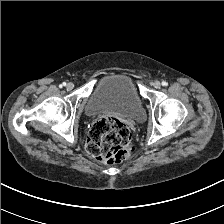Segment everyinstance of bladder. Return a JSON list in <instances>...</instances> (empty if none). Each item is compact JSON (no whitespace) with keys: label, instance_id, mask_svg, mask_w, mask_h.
<instances>
[{"label":"bladder","instance_id":"31cf9c89","mask_svg":"<svg viewBox=\"0 0 224 224\" xmlns=\"http://www.w3.org/2000/svg\"><path fill=\"white\" fill-rule=\"evenodd\" d=\"M106 112L139 122L145 119L139 93L129 76L108 74L95 83L86 103V113L94 116Z\"/></svg>","mask_w":224,"mask_h":224}]
</instances>
